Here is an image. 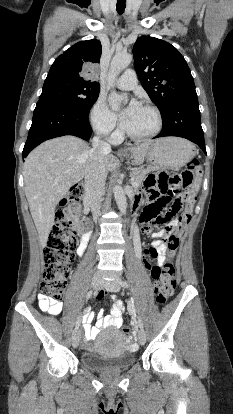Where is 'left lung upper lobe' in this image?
Listing matches in <instances>:
<instances>
[{"instance_id": "5c2ea615", "label": "left lung upper lobe", "mask_w": 233, "mask_h": 414, "mask_svg": "<svg viewBox=\"0 0 233 414\" xmlns=\"http://www.w3.org/2000/svg\"><path fill=\"white\" fill-rule=\"evenodd\" d=\"M139 80L164 116L178 100L196 97L193 77L184 57L166 41L139 37L133 46Z\"/></svg>"}]
</instances>
